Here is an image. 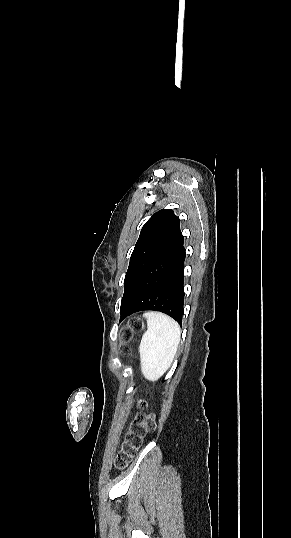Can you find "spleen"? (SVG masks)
<instances>
[{
  "label": "spleen",
  "mask_w": 291,
  "mask_h": 538,
  "mask_svg": "<svg viewBox=\"0 0 291 538\" xmlns=\"http://www.w3.org/2000/svg\"><path fill=\"white\" fill-rule=\"evenodd\" d=\"M147 331L143 334L139 352L144 377L154 381L170 367L176 355L181 330L178 323L159 312H147Z\"/></svg>",
  "instance_id": "3e777b00"
}]
</instances>
